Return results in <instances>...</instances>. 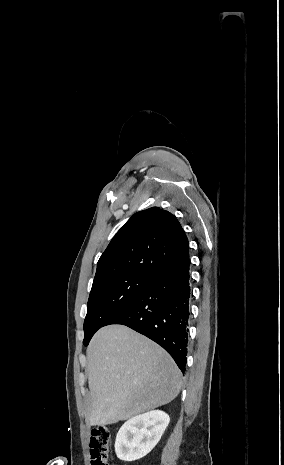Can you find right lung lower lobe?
Wrapping results in <instances>:
<instances>
[{
	"instance_id": "98d812e1",
	"label": "right lung lower lobe",
	"mask_w": 284,
	"mask_h": 465,
	"mask_svg": "<svg viewBox=\"0 0 284 465\" xmlns=\"http://www.w3.org/2000/svg\"><path fill=\"white\" fill-rule=\"evenodd\" d=\"M189 255L151 282L106 323L126 325L163 347L184 373L190 315ZM105 325V326H106Z\"/></svg>"
}]
</instances>
